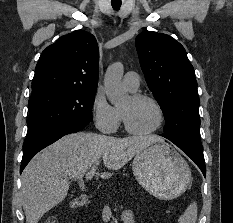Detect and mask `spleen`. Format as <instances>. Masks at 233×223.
Wrapping results in <instances>:
<instances>
[{
  "instance_id": "spleen-1",
  "label": "spleen",
  "mask_w": 233,
  "mask_h": 223,
  "mask_svg": "<svg viewBox=\"0 0 233 223\" xmlns=\"http://www.w3.org/2000/svg\"><path fill=\"white\" fill-rule=\"evenodd\" d=\"M198 215V207L196 201L190 203L187 209H185L183 215L179 217V223H196Z\"/></svg>"
}]
</instances>
